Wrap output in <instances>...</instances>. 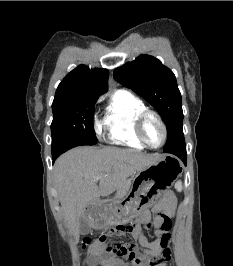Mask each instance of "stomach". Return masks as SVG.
<instances>
[{
    "instance_id": "obj_1",
    "label": "stomach",
    "mask_w": 233,
    "mask_h": 266,
    "mask_svg": "<svg viewBox=\"0 0 233 266\" xmlns=\"http://www.w3.org/2000/svg\"><path fill=\"white\" fill-rule=\"evenodd\" d=\"M168 166H181V161H175V156H171L170 152L166 156H160V160L154 161V164L137 171L126 193L127 197L117 196L116 199L109 200L110 204H100V209L94 213L96 227L122 228L123 225H137L132 212H124V216H120L119 204L126 201L128 209L147 208L170 185H178L183 167Z\"/></svg>"
}]
</instances>
